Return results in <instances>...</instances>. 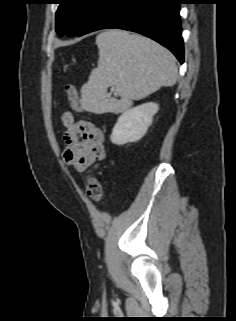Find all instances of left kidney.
<instances>
[{
  "label": "left kidney",
  "mask_w": 236,
  "mask_h": 321,
  "mask_svg": "<svg viewBox=\"0 0 236 321\" xmlns=\"http://www.w3.org/2000/svg\"><path fill=\"white\" fill-rule=\"evenodd\" d=\"M158 110V104L149 102L124 112L113 128L110 137L112 143L123 145L140 140L146 134Z\"/></svg>",
  "instance_id": "left-kidney-1"
}]
</instances>
